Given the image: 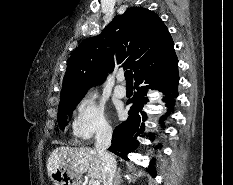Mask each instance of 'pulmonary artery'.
<instances>
[{"label": "pulmonary artery", "instance_id": "1", "mask_svg": "<svg viewBox=\"0 0 233 185\" xmlns=\"http://www.w3.org/2000/svg\"><path fill=\"white\" fill-rule=\"evenodd\" d=\"M118 84L115 87V94L119 97H124L126 95V87L123 85L124 73L120 72L117 75Z\"/></svg>", "mask_w": 233, "mask_h": 185}]
</instances>
